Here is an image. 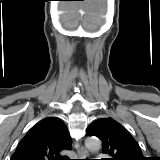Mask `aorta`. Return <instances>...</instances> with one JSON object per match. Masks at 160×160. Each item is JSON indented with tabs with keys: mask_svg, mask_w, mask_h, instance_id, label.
Listing matches in <instances>:
<instances>
[{
	"mask_svg": "<svg viewBox=\"0 0 160 160\" xmlns=\"http://www.w3.org/2000/svg\"><path fill=\"white\" fill-rule=\"evenodd\" d=\"M86 147L92 151H98L101 147V141L96 137H90L85 142Z\"/></svg>",
	"mask_w": 160,
	"mask_h": 160,
	"instance_id": "obj_1",
	"label": "aorta"
}]
</instances>
